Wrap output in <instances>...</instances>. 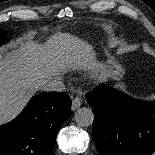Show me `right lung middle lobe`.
I'll use <instances>...</instances> for the list:
<instances>
[{
  "mask_svg": "<svg viewBox=\"0 0 155 155\" xmlns=\"http://www.w3.org/2000/svg\"><path fill=\"white\" fill-rule=\"evenodd\" d=\"M5 31L0 30V46L5 42Z\"/></svg>",
  "mask_w": 155,
  "mask_h": 155,
  "instance_id": "right-lung-middle-lobe-1",
  "label": "right lung middle lobe"
}]
</instances>
